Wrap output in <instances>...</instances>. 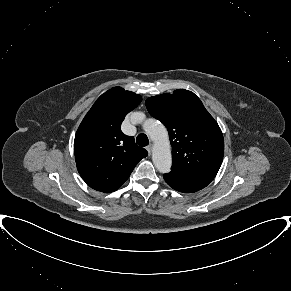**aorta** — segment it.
Segmentation results:
<instances>
[{
    "mask_svg": "<svg viewBox=\"0 0 291 291\" xmlns=\"http://www.w3.org/2000/svg\"><path fill=\"white\" fill-rule=\"evenodd\" d=\"M140 114H135L138 117ZM143 129L154 142L152 160L161 173L170 172L172 165L171 146L166 127L155 119H147L143 123Z\"/></svg>",
    "mask_w": 291,
    "mask_h": 291,
    "instance_id": "aorta-1",
    "label": "aorta"
}]
</instances>
